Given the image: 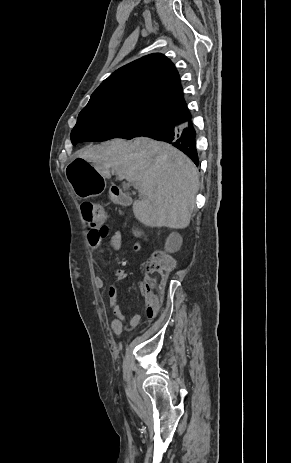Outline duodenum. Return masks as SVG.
<instances>
[{"mask_svg":"<svg viewBox=\"0 0 291 463\" xmlns=\"http://www.w3.org/2000/svg\"><path fill=\"white\" fill-rule=\"evenodd\" d=\"M112 197L120 204L126 205L129 202V198L121 190L114 188L112 189Z\"/></svg>","mask_w":291,"mask_h":463,"instance_id":"obj_1","label":"duodenum"}]
</instances>
